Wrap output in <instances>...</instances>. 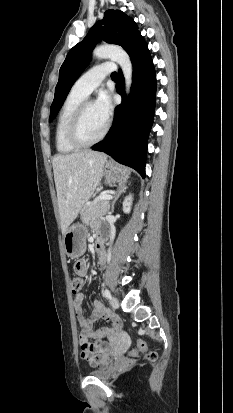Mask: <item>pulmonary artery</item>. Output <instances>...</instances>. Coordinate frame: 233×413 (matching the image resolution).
<instances>
[{
	"mask_svg": "<svg viewBox=\"0 0 233 413\" xmlns=\"http://www.w3.org/2000/svg\"><path fill=\"white\" fill-rule=\"evenodd\" d=\"M115 70L113 63H102L85 72L74 84L73 90L88 96L96 89L105 76Z\"/></svg>",
	"mask_w": 233,
	"mask_h": 413,
	"instance_id": "1",
	"label": "pulmonary artery"
}]
</instances>
